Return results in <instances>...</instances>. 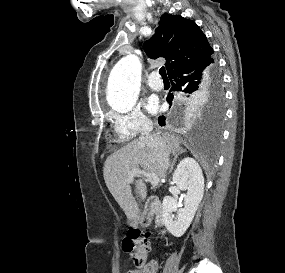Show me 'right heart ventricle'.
<instances>
[{"label":"right heart ventricle","mask_w":285,"mask_h":273,"mask_svg":"<svg viewBox=\"0 0 285 273\" xmlns=\"http://www.w3.org/2000/svg\"><path fill=\"white\" fill-rule=\"evenodd\" d=\"M116 131V130H115ZM117 133V132H116ZM117 139L121 142L125 141L126 138H124L123 136H121L120 134L117 133Z\"/></svg>","instance_id":"1"}]
</instances>
